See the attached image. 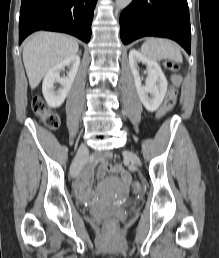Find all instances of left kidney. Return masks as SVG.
Returning <instances> with one entry per match:
<instances>
[{
  "instance_id": "1",
  "label": "left kidney",
  "mask_w": 219,
  "mask_h": 258,
  "mask_svg": "<svg viewBox=\"0 0 219 258\" xmlns=\"http://www.w3.org/2000/svg\"><path fill=\"white\" fill-rule=\"evenodd\" d=\"M138 62H142L147 66L145 85H142L139 70L137 69ZM129 64L140 101L149 112L156 111L164 99L168 85L160 65L135 49L129 52ZM149 94L151 97L148 96Z\"/></svg>"
}]
</instances>
